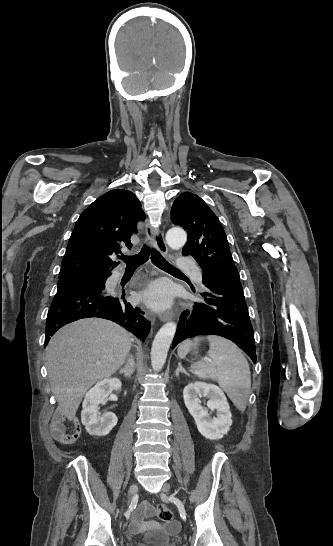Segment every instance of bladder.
<instances>
[{
  "instance_id": "31cf9c89",
  "label": "bladder",
  "mask_w": 333,
  "mask_h": 546,
  "mask_svg": "<svg viewBox=\"0 0 333 546\" xmlns=\"http://www.w3.org/2000/svg\"><path fill=\"white\" fill-rule=\"evenodd\" d=\"M148 539H151V540H154L156 542H158L159 544H165L168 542V536L161 533V532H153V533H150L148 536H147Z\"/></svg>"
}]
</instances>
